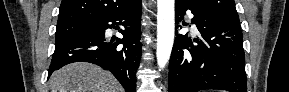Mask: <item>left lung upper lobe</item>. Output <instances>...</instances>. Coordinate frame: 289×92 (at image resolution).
Instances as JSON below:
<instances>
[{
  "instance_id": "5c2ea615",
  "label": "left lung upper lobe",
  "mask_w": 289,
  "mask_h": 92,
  "mask_svg": "<svg viewBox=\"0 0 289 92\" xmlns=\"http://www.w3.org/2000/svg\"><path fill=\"white\" fill-rule=\"evenodd\" d=\"M189 1L221 17L240 23L238 13L235 8L234 0H189Z\"/></svg>"
}]
</instances>
